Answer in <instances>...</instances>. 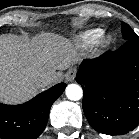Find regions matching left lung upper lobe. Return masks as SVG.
<instances>
[{
    "label": "left lung upper lobe",
    "instance_id": "left-lung-upper-lobe-1",
    "mask_svg": "<svg viewBox=\"0 0 139 139\" xmlns=\"http://www.w3.org/2000/svg\"><path fill=\"white\" fill-rule=\"evenodd\" d=\"M122 34H123V38L126 41L132 39H139V37L136 35L133 29L126 23H123L122 25Z\"/></svg>",
    "mask_w": 139,
    "mask_h": 139
}]
</instances>
